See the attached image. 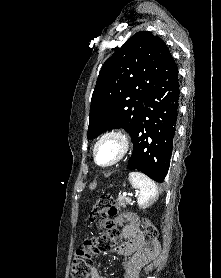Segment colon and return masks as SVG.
<instances>
[{
	"label": "colon",
	"mask_w": 221,
	"mask_h": 278,
	"mask_svg": "<svg viewBox=\"0 0 221 278\" xmlns=\"http://www.w3.org/2000/svg\"><path fill=\"white\" fill-rule=\"evenodd\" d=\"M116 215H120L124 222H128L131 216L121 210L112 196H101L90 212L89 221L92 224L102 227L105 232L98 237L85 239L83 245L77 250L71 268L72 278H90L93 256L110 250L114 238L118 235V230L112 221V217ZM143 227L149 239L148 251H157V229L149 221H145Z\"/></svg>",
	"instance_id": "5ec220e1"
}]
</instances>
